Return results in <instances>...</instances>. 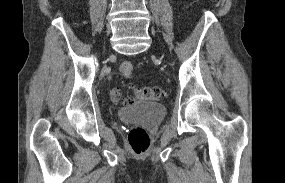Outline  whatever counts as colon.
I'll list each match as a JSON object with an SVG mask.
<instances>
[{"instance_id":"obj_1","label":"colon","mask_w":285,"mask_h":183,"mask_svg":"<svg viewBox=\"0 0 285 183\" xmlns=\"http://www.w3.org/2000/svg\"><path fill=\"white\" fill-rule=\"evenodd\" d=\"M121 74L129 78L134 72V66L130 62H124L120 66ZM111 96V95H110ZM164 96V91L157 86L153 87H139L134 89V97L137 99L156 101ZM134 98H125L124 104L132 103ZM129 146L133 153L140 155L147 151L150 145V136L147 131L141 127H134L131 129L128 136Z\"/></svg>"}]
</instances>
